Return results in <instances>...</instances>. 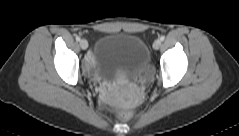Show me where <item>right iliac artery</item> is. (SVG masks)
<instances>
[{"label":"right iliac artery","instance_id":"82829eb1","mask_svg":"<svg viewBox=\"0 0 239 136\" xmlns=\"http://www.w3.org/2000/svg\"><path fill=\"white\" fill-rule=\"evenodd\" d=\"M76 40H77V41H80V40H81V38H80L79 36H77V37H76Z\"/></svg>","mask_w":239,"mask_h":136}]
</instances>
